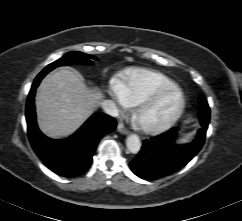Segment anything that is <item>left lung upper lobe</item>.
Masks as SVG:
<instances>
[{"instance_id":"obj_1","label":"left lung upper lobe","mask_w":242,"mask_h":221,"mask_svg":"<svg viewBox=\"0 0 242 221\" xmlns=\"http://www.w3.org/2000/svg\"><path fill=\"white\" fill-rule=\"evenodd\" d=\"M199 105L201 106V109L199 110L198 115L199 119H202L203 116L209 114V106L204 97L199 98Z\"/></svg>"}]
</instances>
